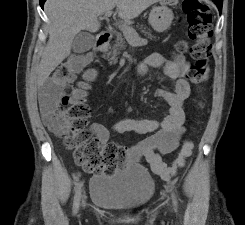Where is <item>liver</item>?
Masks as SVG:
<instances>
[{"instance_id":"1","label":"liver","mask_w":245,"mask_h":225,"mask_svg":"<svg viewBox=\"0 0 245 225\" xmlns=\"http://www.w3.org/2000/svg\"><path fill=\"white\" fill-rule=\"evenodd\" d=\"M163 0H47L44 10L50 24L49 40L38 68L37 82L42 85L55 68L69 56L74 37L81 30L97 32L98 17L115 7L118 16L129 21L152 4Z\"/></svg>"}]
</instances>
